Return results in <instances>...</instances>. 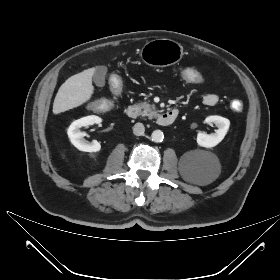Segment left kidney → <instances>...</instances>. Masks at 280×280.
Here are the masks:
<instances>
[{
	"label": "left kidney",
	"instance_id": "obj_1",
	"mask_svg": "<svg viewBox=\"0 0 280 280\" xmlns=\"http://www.w3.org/2000/svg\"><path fill=\"white\" fill-rule=\"evenodd\" d=\"M205 122L214 123L218 129L212 134L199 132L197 135V143L199 146L211 148L219 144L224 139L229 129L230 121L227 118L218 115H211L205 119Z\"/></svg>",
	"mask_w": 280,
	"mask_h": 280
}]
</instances>
